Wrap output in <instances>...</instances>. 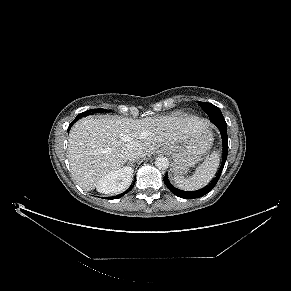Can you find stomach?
<instances>
[{"instance_id":"0dacf381","label":"stomach","mask_w":291,"mask_h":291,"mask_svg":"<svg viewBox=\"0 0 291 291\" xmlns=\"http://www.w3.org/2000/svg\"><path fill=\"white\" fill-rule=\"evenodd\" d=\"M212 142V132L207 128L180 143L164 146L163 151L173 159L172 172L174 177H182L189 171L190 167L197 164L211 148Z\"/></svg>"}]
</instances>
